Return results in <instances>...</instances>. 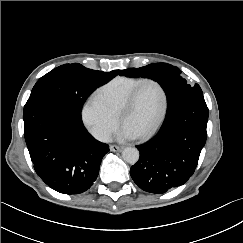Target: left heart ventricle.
<instances>
[{
	"mask_svg": "<svg viewBox=\"0 0 243 243\" xmlns=\"http://www.w3.org/2000/svg\"><path fill=\"white\" fill-rule=\"evenodd\" d=\"M162 104V93L152 82L145 83L138 91L133 107L125 114L123 125L140 134L156 119Z\"/></svg>",
	"mask_w": 243,
	"mask_h": 243,
	"instance_id": "obj_1",
	"label": "left heart ventricle"
}]
</instances>
